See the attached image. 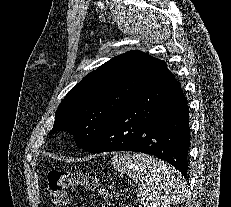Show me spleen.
Here are the masks:
<instances>
[{
  "instance_id": "1",
  "label": "spleen",
  "mask_w": 231,
  "mask_h": 207,
  "mask_svg": "<svg viewBox=\"0 0 231 207\" xmlns=\"http://www.w3.org/2000/svg\"><path fill=\"white\" fill-rule=\"evenodd\" d=\"M112 165L140 187L138 201L144 207H171L184 199V181L177 170L142 153L116 155Z\"/></svg>"
}]
</instances>
